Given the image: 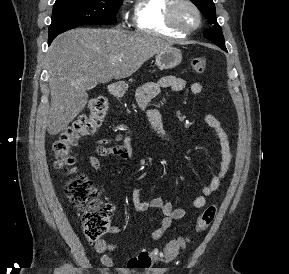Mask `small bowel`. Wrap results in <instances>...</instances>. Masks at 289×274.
I'll return each mask as SVG.
<instances>
[{"label": "small bowel", "instance_id": "small-bowel-1", "mask_svg": "<svg viewBox=\"0 0 289 274\" xmlns=\"http://www.w3.org/2000/svg\"><path fill=\"white\" fill-rule=\"evenodd\" d=\"M185 86L186 81L175 76H165L156 82H148L138 90V105L141 109H145L147 104L152 99H154L161 90L169 89L171 91L177 92L183 90ZM190 90L194 95H201L203 93V85L200 82H194L191 84ZM146 114L163 147L168 152L179 155L181 153V148L167 135L163 127L159 110L152 108L147 110ZM203 121L208 127L213 129L218 139L220 148V161L217 173L206 185L201 188L200 193L191 202L192 207L197 209L203 208L206 205V198L219 188L222 179L229 170L233 158V152L228 140V136L220 121L211 114L205 115ZM114 140H123V144L107 146V140L101 139L99 140V144L96 148L97 154L102 157L118 156L123 160H128L132 155L130 136H123L118 134ZM88 162L93 169L97 171L101 169L100 160L97 156H90L88 158ZM132 200L133 205L137 211L143 212L149 208H155L161 212L162 219L160 225L151 234L153 240L160 239L170 228L174 220H181L185 218L187 214L185 208H174L171 202L160 197L152 198L149 201L142 200L140 198L138 189H134ZM111 231L112 233H117L119 232V229L113 227ZM94 249L95 252L100 256V259L105 266H113L114 262L110 257V253L117 249L116 244L101 239L95 242Z\"/></svg>", "mask_w": 289, "mask_h": 274}]
</instances>
